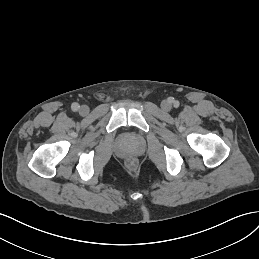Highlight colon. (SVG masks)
I'll use <instances>...</instances> for the list:
<instances>
[{"label":"colon","instance_id":"1","mask_svg":"<svg viewBox=\"0 0 259 259\" xmlns=\"http://www.w3.org/2000/svg\"><path fill=\"white\" fill-rule=\"evenodd\" d=\"M137 164H138V161H137V159L134 158V157H130V158H128V159L126 160V166H127L128 168H130V169L136 168Z\"/></svg>","mask_w":259,"mask_h":259}]
</instances>
